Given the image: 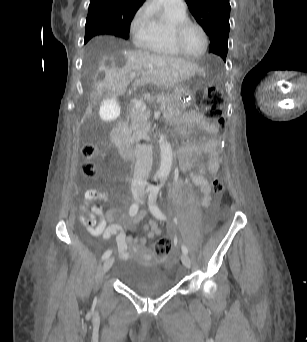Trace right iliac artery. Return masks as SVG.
I'll use <instances>...</instances> for the list:
<instances>
[{
  "label": "right iliac artery",
  "instance_id": "82829eb1",
  "mask_svg": "<svg viewBox=\"0 0 307 342\" xmlns=\"http://www.w3.org/2000/svg\"><path fill=\"white\" fill-rule=\"evenodd\" d=\"M150 191V188L148 187L145 191V193H148ZM138 209H139V206H138V203H134L131 205L130 209H129V215L130 216H135L137 213H138ZM112 254V251L111 250H107L103 256H102V260H105L107 259L110 255Z\"/></svg>",
  "mask_w": 307,
  "mask_h": 342
}]
</instances>
